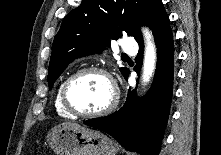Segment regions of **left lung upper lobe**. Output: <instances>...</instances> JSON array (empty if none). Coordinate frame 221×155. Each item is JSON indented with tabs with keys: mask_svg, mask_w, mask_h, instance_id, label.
I'll list each match as a JSON object with an SVG mask.
<instances>
[{
	"mask_svg": "<svg viewBox=\"0 0 221 155\" xmlns=\"http://www.w3.org/2000/svg\"><path fill=\"white\" fill-rule=\"evenodd\" d=\"M161 0H83L68 13L54 38L48 71L49 89L75 58L104 49L126 32L137 39ZM123 76L129 71L120 69Z\"/></svg>",
	"mask_w": 221,
	"mask_h": 155,
	"instance_id": "1",
	"label": "left lung upper lobe"
}]
</instances>
